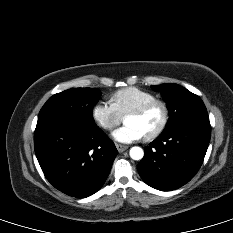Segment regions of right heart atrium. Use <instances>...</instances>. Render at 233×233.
<instances>
[{
	"instance_id": "obj_1",
	"label": "right heart atrium",
	"mask_w": 233,
	"mask_h": 233,
	"mask_svg": "<svg viewBox=\"0 0 233 233\" xmlns=\"http://www.w3.org/2000/svg\"><path fill=\"white\" fill-rule=\"evenodd\" d=\"M92 118L104 130L111 131L118 126L123 117L111 103L98 102L92 108Z\"/></svg>"
}]
</instances>
